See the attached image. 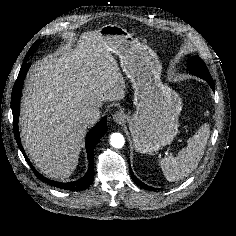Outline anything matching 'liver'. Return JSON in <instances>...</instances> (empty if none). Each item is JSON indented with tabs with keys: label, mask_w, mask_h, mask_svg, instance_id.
Wrapping results in <instances>:
<instances>
[{
	"label": "liver",
	"mask_w": 236,
	"mask_h": 236,
	"mask_svg": "<svg viewBox=\"0 0 236 236\" xmlns=\"http://www.w3.org/2000/svg\"><path fill=\"white\" fill-rule=\"evenodd\" d=\"M125 80L99 31L84 32L74 48L39 60L29 73L21 103L20 133L35 167L63 181L77 167L88 107L125 97Z\"/></svg>",
	"instance_id": "1"
}]
</instances>
